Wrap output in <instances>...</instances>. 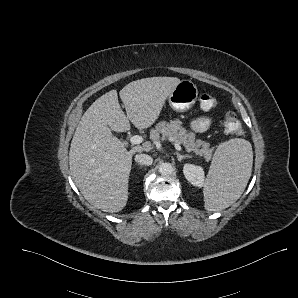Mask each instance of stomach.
Wrapping results in <instances>:
<instances>
[{
  "instance_id": "obj_1",
  "label": "stomach",
  "mask_w": 298,
  "mask_h": 298,
  "mask_svg": "<svg viewBox=\"0 0 298 298\" xmlns=\"http://www.w3.org/2000/svg\"><path fill=\"white\" fill-rule=\"evenodd\" d=\"M198 94L197 85L189 79H183L168 96V104L175 112H187L197 102Z\"/></svg>"
}]
</instances>
